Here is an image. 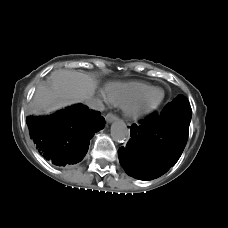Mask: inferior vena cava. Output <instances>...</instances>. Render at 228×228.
<instances>
[{"instance_id": "inferior-vena-cava-1", "label": "inferior vena cava", "mask_w": 228, "mask_h": 228, "mask_svg": "<svg viewBox=\"0 0 228 228\" xmlns=\"http://www.w3.org/2000/svg\"><path fill=\"white\" fill-rule=\"evenodd\" d=\"M85 104L90 109L97 110V111H103L105 108L103 102L98 98H91L89 100H86Z\"/></svg>"}]
</instances>
